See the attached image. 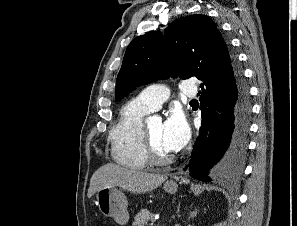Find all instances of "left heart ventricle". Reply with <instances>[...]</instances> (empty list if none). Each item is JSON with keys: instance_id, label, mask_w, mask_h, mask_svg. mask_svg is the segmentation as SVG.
<instances>
[{"instance_id": "1", "label": "left heart ventricle", "mask_w": 297, "mask_h": 226, "mask_svg": "<svg viewBox=\"0 0 297 226\" xmlns=\"http://www.w3.org/2000/svg\"><path fill=\"white\" fill-rule=\"evenodd\" d=\"M151 140L162 155H170V152L162 144V129L163 124L160 121L152 122L147 125Z\"/></svg>"}]
</instances>
